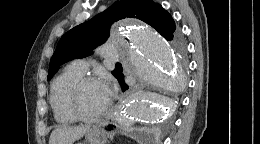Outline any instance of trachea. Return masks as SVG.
Listing matches in <instances>:
<instances>
[{"instance_id": "3493384b", "label": "trachea", "mask_w": 260, "mask_h": 144, "mask_svg": "<svg viewBox=\"0 0 260 144\" xmlns=\"http://www.w3.org/2000/svg\"><path fill=\"white\" fill-rule=\"evenodd\" d=\"M116 65H121V63L117 62Z\"/></svg>"}]
</instances>
